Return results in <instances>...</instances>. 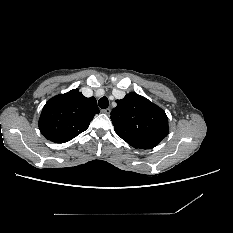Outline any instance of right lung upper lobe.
I'll return each instance as SVG.
<instances>
[{"instance_id": "1", "label": "right lung upper lobe", "mask_w": 233, "mask_h": 233, "mask_svg": "<svg viewBox=\"0 0 233 233\" xmlns=\"http://www.w3.org/2000/svg\"><path fill=\"white\" fill-rule=\"evenodd\" d=\"M98 113L94 97L86 98L78 89H73L51 98L45 104L39 129L46 139L64 143L84 132Z\"/></svg>"}]
</instances>
